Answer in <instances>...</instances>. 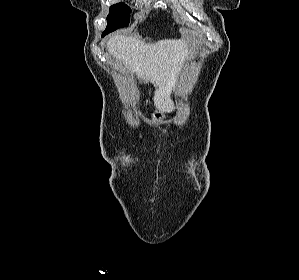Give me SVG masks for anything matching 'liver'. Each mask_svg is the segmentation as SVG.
<instances>
[{"instance_id": "liver-1", "label": "liver", "mask_w": 299, "mask_h": 280, "mask_svg": "<svg viewBox=\"0 0 299 280\" xmlns=\"http://www.w3.org/2000/svg\"><path fill=\"white\" fill-rule=\"evenodd\" d=\"M108 52L120 61L123 70L136 73L144 82L150 81L159 89L154 105L161 112H171L175 106L170 98L171 88L189 51L184 40L165 39L156 43L115 35L107 41Z\"/></svg>"}]
</instances>
